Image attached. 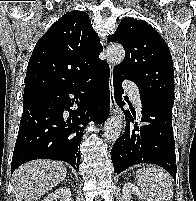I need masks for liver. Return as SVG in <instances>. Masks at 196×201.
<instances>
[{
	"mask_svg": "<svg viewBox=\"0 0 196 201\" xmlns=\"http://www.w3.org/2000/svg\"><path fill=\"white\" fill-rule=\"evenodd\" d=\"M63 163L33 160L19 166L13 173L14 201H37L66 177Z\"/></svg>",
	"mask_w": 196,
	"mask_h": 201,
	"instance_id": "6515ba94",
	"label": "liver"
}]
</instances>
